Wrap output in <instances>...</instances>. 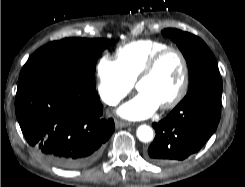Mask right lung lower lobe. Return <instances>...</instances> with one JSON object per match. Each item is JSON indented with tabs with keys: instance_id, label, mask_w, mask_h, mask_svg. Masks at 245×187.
I'll list each match as a JSON object with an SVG mask.
<instances>
[{
	"instance_id": "obj_1",
	"label": "right lung lower lobe",
	"mask_w": 245,
	"mask_h": 187,
	"mask_svg": "<svg viewBox=\"0 0 245 187\" xmlns=\"http://www.w3.org/2000/svg\"><path fill=\"white\" fill-rule=\"evenodd\" d=\"M95 88L77 81L41 75L18 83L15 112L21 130L37 154L63 169L87 167L101 156L115 130L102 119Z\"/></svg>"
}]
</instances>
